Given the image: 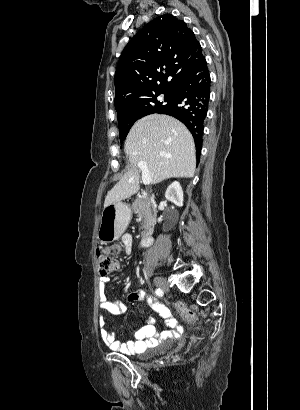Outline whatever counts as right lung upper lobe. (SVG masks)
<instances>
[{"label": "right lung upper lobe", "instance_id": "right-lung-upper-lobe-1", "mask_svg": "<svg viewBox=\"0 0 300 410\" xmlns=\"http://www.w3.org/2000/svg\"><path fill=\"white\" fill-rule=\"evenodd\" d=\"M204 58L185 22L173 15L157 17L126 45L115 73L118 121L140 114L141 100L174 90L177 81Z\"/></svg>", "mask_w": 300, "mask_h": 410}]
</instances>
